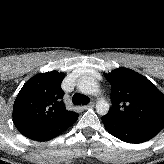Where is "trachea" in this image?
<instances>
[{
	"mask_svg": "<svg viewBox=\"0 0 164 164\" xmlns=\"http://www.w3.org/2000/svg\"><path fill=\"white\" fill-rule=\"evenodd\" d=\"M72 101L76 105H80V104L87 105L90 102V98L85 95L75 93L72 97Z\"/></svg>",
	"mask_w": 164,
	"mask_h": 164,
	"instance_id": "3493384b",
	"label": "trachea"
}]
</instances>
